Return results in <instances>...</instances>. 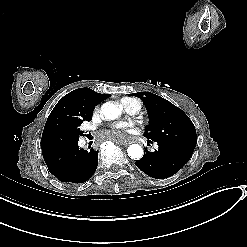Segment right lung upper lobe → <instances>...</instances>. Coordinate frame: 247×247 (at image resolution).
Returning a JSON list of instances; mask_svg holds the SVG:
<instances>
[{
  "label": "right lung upper lobe",
  "mask_w": 247,
  "mask_h": 247,
  "mask_svg": "<svg viewBox=\"0 0 247 247\" xmlns=\"http://www.w3.org/2000/svg\"><path fill=\"white\" fill-rule=\"evenodd\" d=\"M110 94H100L89 88H78L59 100L50 113L42 134L41 148L56 132L90 121L94 107Z\"/></svg>",
  "instance_id": "1"
}]
</instances>
